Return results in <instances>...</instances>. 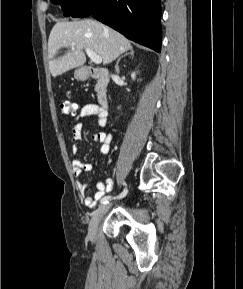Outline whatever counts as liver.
Masks as SVG:
<instances>
[{
	"instance_id": "liver-1",
	"label": "liver",
	"mask_w": 243,
	"mask_h": 289,
	"mask_svg": "<svg viewBox=\"0 0 243 289\" xmlns=\"http://www.w3.org/2000/svg\"><path fill=\"white\" fill-rule=\"evenodd\" d=\"M72 43L74 48L71 47ZM62 48H68V51L56 57ZM86 48L101 56L103 64L107 65L120 54L131 50L132 46L122 34L93 19L57 22L48 40L49 69L52 76L83 66L86 62Z\"/></svg>"
}]
</instances>
